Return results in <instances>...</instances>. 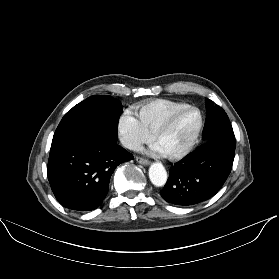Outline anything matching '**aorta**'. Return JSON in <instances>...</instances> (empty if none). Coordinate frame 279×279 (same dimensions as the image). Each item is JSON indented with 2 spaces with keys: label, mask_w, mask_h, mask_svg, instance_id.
<instances>
[{
  "label": "aorta",
  "mask_w": 279,
  "mask_h": 279,
  "mask_svg": "<svg viewBox=\"0 0 279 279\" xmlns=\"http://www.w3.org/2000/svg\"><path fill=\"white\" fill-rule=\"evenodd\" d=\"M149 178L153 185L157 187L164 186L167 181L165 167L159 162L152 163L149 168Z\"/></svg>",
  "instance_id": "obj_1"
}]
</instances>
